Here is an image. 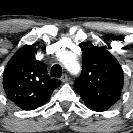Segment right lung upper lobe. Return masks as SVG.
Segmentation results:
<instances>
[{
    "mask_svg": "<svg viewBox=\"0 0 133 133\" xmlns=\"http://www.w3.org/2000/svg\"><path fill=\"white\" fill-rule=\"evenodd\" d=\"M35 47L20 48L8 62L3 75L7 97L23 110L41 107L61 82L51 79L46 65L35 58Z\"/></svg>",
    "mask_w": 133,
    "mask_h": 133,
    "instance_id": "cb5924a9",
    "label": "right lung upper lobe"
}]
</instances>
